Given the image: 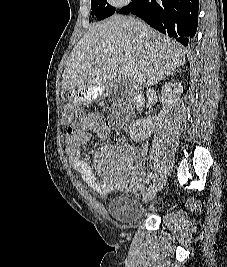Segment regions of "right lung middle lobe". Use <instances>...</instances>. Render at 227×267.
<instances>
[{"mask_svg": "<svg viewBox=\"0 0 227 267\" xmlns=\"http://www.w3.org/2000/svg\"><path fill=\"white\" fill-rule=\"evenodd\" d=\"M91 14L98 20H103L115 13L116 8L107 3V0H91Z\"/></svg>", "mask_w": 227, "mask_h": 267, "instance_id": "right-lung-middle-lobe-1", "label": "right lung middle lobe"}]
</instances>
